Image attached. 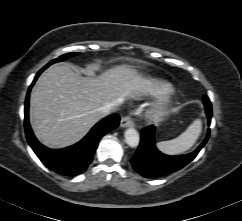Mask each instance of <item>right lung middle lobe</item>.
Wrapping results in <instances>:
<instances>
[{"label":"right lung middle lobe","instance_id":"dd1d6c3e","mask_svg":"<svg viewBox=\"0 0 242 221\" xmlns=\"http://www.w3.org/2000/svg\"><path fill=\"white\" fill-rule=\"evenodd\" d=\"M77 54H79V53H67V54H64V55L60 56L59 58H57V59L52 60L51 62H49L43 69H46L48 66H50L53 63H56V62H59V61H64L67 58L72 57V56H75Z\"/></svg>","mask_w":242,"mask_h":221}]
</instances>
